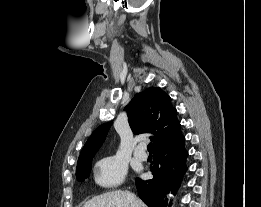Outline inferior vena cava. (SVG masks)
<instances>
[{
    "instance_id": "obj_1",
    "label": "inferior vena cava",
    "mask_w": 261,
    "mask_h": 207,
    "mask_svg": "<svg viewBox=\"0 0 261 207\" xmlns=\"http://www.w3.org/2000/svg\"><path fill=\"white\" fill-rule=\"evenodd\" d=\"M128 199L131 202V207H138V203L132 194H128Z\"/></svg>"
}]
</instances>
